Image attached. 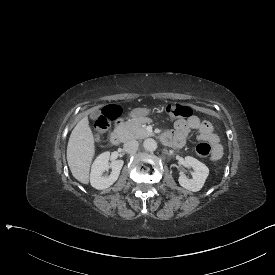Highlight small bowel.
Returning a JSON list of instances; mask_svg holds the SVG:
<instances>
[{
  "mask_svg": "<svg viewBox=\"0 0 275 275\" xmlns=\"http://www.w3.org/2000/svg\"><path fill=\"white\" fill-rule=\"evenodd\" d=\"M176 131L169 132L167 135L178 134L184 142L186 136L191 130H198V139L209 142L212 147V159L218 160L222 156V146L219 143L218 136L213 132V127L208 121H201L197 116L188 120H179L175 124Z\"/></svg>",
  "mask_w": 275,
  "mask_h": 275,
  "instance_id": "obj_1",
  "label": "small bowel"
}]
</instances>
